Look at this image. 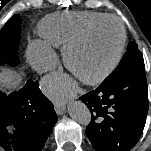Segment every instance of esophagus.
Segmentation results:
<instances>
[{"label": "esophagus", "instance_id": "obj_1", "mask_svg": "<svg viewBox=\"0 0 151 151\" xmlns=\"http://www.w3.org/2000/svg\"><path fill=\"white\" fill-rule=\"evenodd\" d=\"M54 109L57 114L61 115L65 112L66 107H65V104L56 102L54 103Z\"/></svg>", "mask_w": 151, "mask_h": 151}]
</instances>
